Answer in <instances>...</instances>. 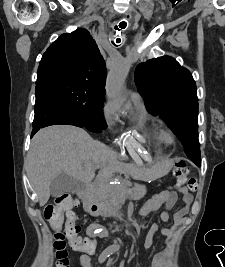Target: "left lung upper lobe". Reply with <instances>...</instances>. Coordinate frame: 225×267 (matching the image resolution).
Here are the masks:
<instances>
[{"label": "left lung upper lobe", "instance_id": "obj_1", "mask_svg": "<svg viewBox=\"0 0 225 267\" xmlns=\"http://www.w3.org/2000/svg\"><path fill=\"white\" fill-rule=\"evenodd\" d=\"M135 82L147 110L169 125L182 142L186 155L201 166L198 98L189 70L172 57H158L136 67Z\"/></svg>", "mask_w": 225, "mask_h": 267}]
</instances>
